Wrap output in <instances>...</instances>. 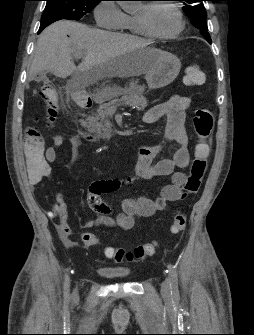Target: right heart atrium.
<instances>
[{
  "instance_id": "obj_1",
  "label": "right heart atrium",
  "mask_w": 254,
  "mask_h": 335,
  "mask_svg": "<svg viewBox=\"0 0 254 335\" xmlns=\"http://www.w3.org/2000/svg\"><path fill=\"white\" fill-rule=\"evenodd\" d=\"M125 13L114 1H101L95 8L94 16L97 24L106 29H120Z\"/></svg>"
}]
</instances>
